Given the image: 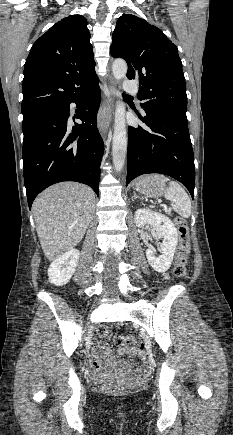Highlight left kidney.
Here are the masks:
<instances>
[{
    "mask_svg": "<svg viewBox=\"0 0 233 435\" xmlns=\"http://www.w3.org/2000/svg\"><path fill=\"white\" fill-rule=\"evenodd\" d=\"M134 219L137 227L151 225L156 234L163 238L160 246L161 255L156 257V251L150 247L146 250V257L155 271L160 273L167 271L172 264L178 243V232L175 225L167 216L144 208L135 212Z\"/></svg>",
    "mask_w": 233,
    "mask_h": 435,
    "instance_id": "left-kidney-1",
    "label": "left kidney"
}]
</instances>
